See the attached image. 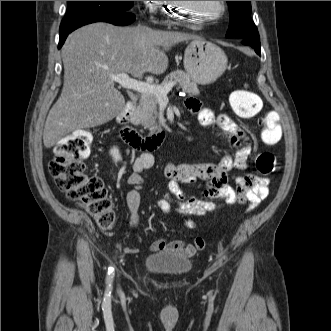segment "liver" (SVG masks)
Wrapping results in <instances>:
<instances>
[{"mask_svg": "<svg viewBox=\"0 0 331 331\" xmlns=\"http://www.w3.org/2000/svg\"><path fill=\"white\" fill-rule=\"evenodd\" d=\"M199 37L145 26L117 27L93 23L71 33L62 48L64 84L44 126L43 143L54 146L68 133L104 124L124 108L125 99L112 75L162 74L168 67L165 51ZM162 47V49H161Z\"/></svg>", "mask_w": 331, "mask_h": 331, "instance_id": "6515ba94", "label": "liver"}]
</instances>
